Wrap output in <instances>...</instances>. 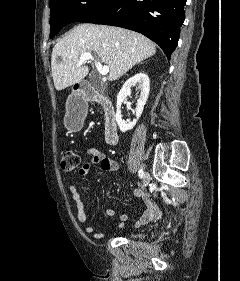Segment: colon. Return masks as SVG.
Returning <instances> with one entry per match:
<instances>
[{"instance_id":"5ec220e1","label":"colon","mask_w":240,"mask_h":281,"mask_svg":"<svg viewBox=\"0 0 240 281\" xmlns=\"http://www.w3.org/2000/svg\"><path fill=\"white\" fill-rule=\"evenodd\" d=\"M80 165L79 155L72 150L65 151L61 157V168L64 171H73Z\"/></svg>"}]
</instances>
